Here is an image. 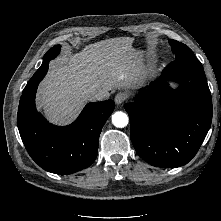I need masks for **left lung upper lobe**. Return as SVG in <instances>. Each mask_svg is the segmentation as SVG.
Wrapping results in <instances>:
<instances>
[{"label": "left lung upper lobe", "mask_w": 221, "mask_h": 221, "mask_svg": "<svg viewBox=\"0 0 221 221\" xmlns=\"http://www.w3.org/2000/svg\"><path fill=\"white\" fill-rule=\"evenodd\" d=\"M169 43L172 47V52L175 54V60L195 56L192 50L186 45L175 40H169Z\"/></svg>", "instance_id": "obj_1"}]
</instances>
